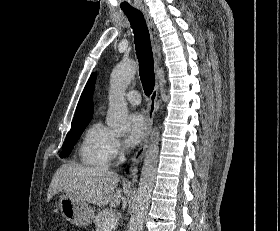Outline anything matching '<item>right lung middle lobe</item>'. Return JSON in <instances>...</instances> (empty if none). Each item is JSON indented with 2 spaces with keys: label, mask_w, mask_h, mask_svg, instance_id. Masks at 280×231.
<instances>
[{
  "label": "right lung middle lobe",
  "mask_w": 280,
  "mask_h": 231,
  "mask_svg": "<svg viewBox=\"0 0 280 231\" xmlns=\"http://www.w3.org/2000/svg\"><path fill=\"white\" fill-rule=\"evenodd\" d=\"M88 123H85V124L77 126V127H73L67 133V137L64 142L62 152L59 155L61 158H65L71 153L72 148L76 144V142L79 139V137L81 136L82 132L85 130Z\"/></svg>",
  "instance_id": "dd1d6c3e"
}]
</instances>
